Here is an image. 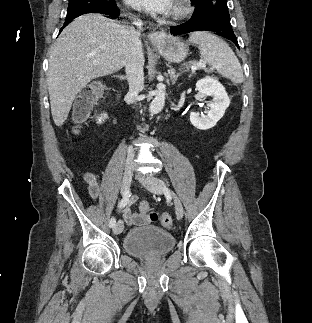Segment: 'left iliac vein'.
<instances>
[{
  "mask_svg": "<svg viewBox=\"0 0 312 323\" xmlns=\"http://www.w3.org/2000/svg\"><path fill=\"white\" fill-rule=\"evenodd\" d=\"M139 181L151 192L156 194H166L168 193L174 201V206L176 210V215L178 219H181L184 215L183 205L177 195L172 192L166 185V183L153 176H146V178L139 177Z\"/></svg>",
  "mask_w": 312,
  "mask_h": 323,
  "instance_id": "obj_1",
  "label": "left iliac vein"
}]
</instances>
